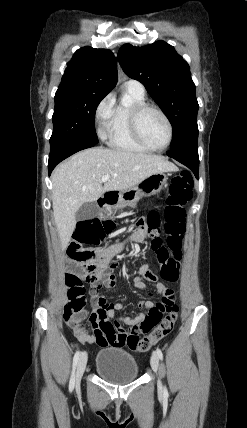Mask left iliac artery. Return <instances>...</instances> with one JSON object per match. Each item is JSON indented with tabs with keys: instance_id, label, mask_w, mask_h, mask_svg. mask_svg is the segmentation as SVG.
Segmentation results:
<instances>
[{
	"instance_id": "obj_1",
	"label": "left iliac artery",
	"mask_w": 247,
	"mask_h": 428,
	"mask_svg": "<svg viewBox=\"0 0 247 428\" xmlns=\"http://www.w3.org/2000/svg\"><path fill=\"white\" fill-rule=\"evenodd\" d=\"M156 354H157V356H158L161 360L163 359V353H162L161 349L157 348V349H156ZM164 393H165V394H168V392H167V389H166V388H164Z\"/></svg>"
}]
</instances>
